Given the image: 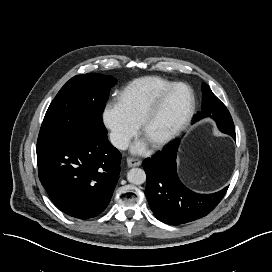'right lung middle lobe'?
<instances>
[{
    "instance_id": "dd1d6c3e",
    "label": "right lung middle lobe",
    "mask_w": 272,
    "mask_h": 272,
    "mask_svg": "<svg viewBox=\"0 0 272 272\" xmlns=\"http://www.w3.org/2000/svg\"><path fill=\"white\" fill-rule=\"evenodd\" d=\"M116 84L110 76L88 73L71 78L51 102L39 138L107 135L102 113L109 91Z\"/></svg>"
}]
</instances>
